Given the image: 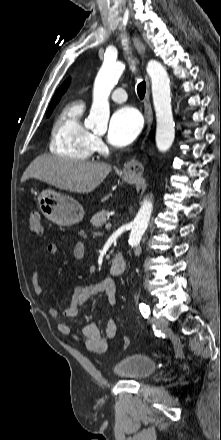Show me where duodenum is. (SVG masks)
<instances>
[{
	"instance_id": "410a0bca",
	"label": "duodenum",
	"mask_w": 221,
	"mask_h": 440,
	"mask_svg": "<svg viewBox=\"0 0 221 440\" xmlns=\"http://www.w3.org/2000/svg\"><path fill=\"white\" fill-rule=\"evenodd\" d=\"M126 269V261L122 254L116 253L112 259L110 271L113 275H120Z\"/></svg>"
}]
</instances>
